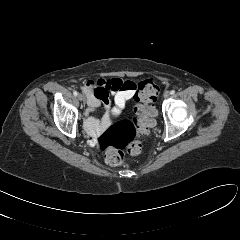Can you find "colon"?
Listing matches in <instances>:
<instances>
[{"label": "colon", "instance_id": "5ec220e1", "mask_svg": "<svg viewBox=\"0 0 240 240\" xmlns=\"http://www.w3.org/2000/svg\"><path fill=\"white\" fill-rule=\"evenodd\" d=\"M135 88L134 118L113 124L97 139L98 149L104 154L109 165L122 164L125 150L131 155L139 154V138L146 135L155 124L154 102L159 93V86L153 79L148 78L138 82Z\"/></svg>", "mask_w": 240, "mask_h": 240}]
</instances>
